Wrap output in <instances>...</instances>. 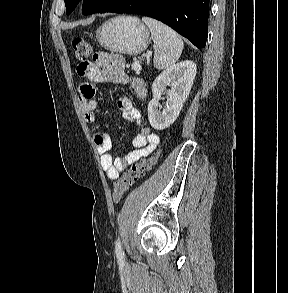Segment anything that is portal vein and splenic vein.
<instances>
[{
    "mask_svg": "<svg viewBox=\"0 0 288 293\" xmlns=\"http://www.w3.org/2000/svg\"><path fill=\"white\" fill-rule=\"evenodd\" d=\"M132 69L134 71L140 72L142 67H141L140 63H135V64L132 65Z\"/></svg>",
    "mask_w": 288,
    "mask_h": 293,
    "instance_id": "18ae733b",
    "label": "portal vein and splenic vein"
}]
</instances>
